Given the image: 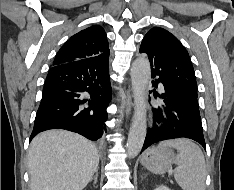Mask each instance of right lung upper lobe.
<instances>
[{"label":"right lung upper lobe","instance_id":"1","mask_svg":"<svg viewBox=\"0 0 234 190\" xmlns=\"http://www.w3.org/2000/svg\"><path fill=\"white\" fill-rule=\"evenodd\" d=\"M106 32L93 25L73 35L58 51L53 66L91 57H109Z\"/></svg>","mask_w":234,"mask_h":190}]
</instances>
